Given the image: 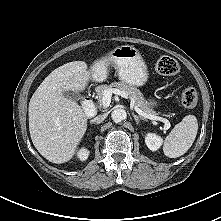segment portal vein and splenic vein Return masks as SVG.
<instances>
[{"label":"portal vein and splenic vein","mask_w":221,"mask_h":221,"mask_svg":"<svg viewBox=\"0 0 221 221\" xmlns=\"http://www.w3.org/2000/svg\"><path fill=\"white\" fill-rule=\"evenodd\" d=\"M112 94H116V95H119L121 97L128 98V95L123 91H120L118 89H108V90L104 91V93H103V97H102V106H103V108H107L110 105ZM131 105L134 107V110L139 115H141L145 118L151 119V120H156V121L163 122L165 124L166 129H169L171 127V124L167 119L159 117V116H155V115H152V114H147V113L143 112L140 108L135 106L133 102L131 103Z\"/></svg>","instance_id":"1"}]
</instances>
